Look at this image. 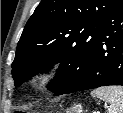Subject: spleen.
I'll return each instance as SVG.
<instances>
[{
    "instance_id": "spleen-1",
    "label": "spleen",
    "mask_w": 123,
    "mask_h": 113,
    "mask_svg": "<svg viewBox=\"0 0 123 113\" xmlns=\"http://www.w3.org/2000/svg\"><path fill=\"white\" fill-rule=\"evenodd\" d=\"M91 96L109 104L108 113H123V87H100L91 92Z\"/></svg>"
}]
</instances>
